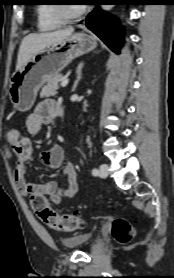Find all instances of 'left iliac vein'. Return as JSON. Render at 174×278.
<instances>
[{"mask_svg": "<svg viewBox=\"0 0 174 278\" xmlns=\"http://www.w3.org/2000/svg\"><path fill=\"white\" fill-rule=\"evenodd\" d=\"M101 178H106L108 176V166L106 164H102L99 167V174Z\"/></svg>", "mask_w": 174, "mask_h": 278, "instance_id": "4c4485c4", "label": "left iliac vein"}]
</instances>
